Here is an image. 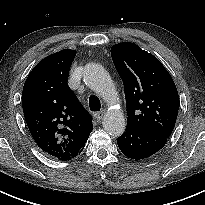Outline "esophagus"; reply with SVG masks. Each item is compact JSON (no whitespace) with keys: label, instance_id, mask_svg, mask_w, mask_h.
Wrapping results in <instances>:
<instances>
[{"label":"esophagus","instance_id":"esophagus-1","mask_svg":"<svg viewBox=\"0 0 205 205\" xmlns=\"http://www.w3.org/2000/svg\"><path fill=\"white\" fill-rule=\"evenodd\" d=\"M104 115H105V111L102 110V111L97 112L95 116H96V119H97L98 121H100V120L103 119Z\"/></svg>","mask_w":205,"mask_h":205}]
</instances>
